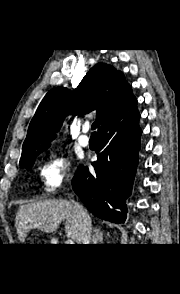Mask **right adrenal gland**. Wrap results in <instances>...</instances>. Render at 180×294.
<instances>
[{
	"label": "right adrenal gland",
	"mask_w": 180,
	"mask_h": 294,
	"mask_svg": "<svg viewBox=\"0 0 180 294\" xmlns=\"http://www.w3.org/2000/svg\"><path fill=\"white\" fill-rule=\"evenodd\" d=\"M103 236L104 233L99 229V228H95L94 229V234L92 237V244H99L103 242Z\"/></svg>",
	"instance_id": "1"
}]
</instances>
